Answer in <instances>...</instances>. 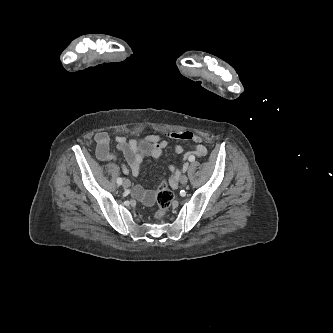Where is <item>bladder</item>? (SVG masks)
I'll use <instances>...</instances> for the list:
<instances>
[{
  "label": "bladder",
  "instance_id": "1",
  "mask_svg": "<svg viewBox=\"0 0 333 333\" xmlns=\"http://www.w3.org/2000/svg\"><path fill=\"white\" fill-rule=\"evenodd\" d=\"M152 149V144L151 143H144L142 144V150L145 152L151 151Z\"/></svg>",
  "mask_w": 333,
  "mask_h": 333
}]
</instances>
